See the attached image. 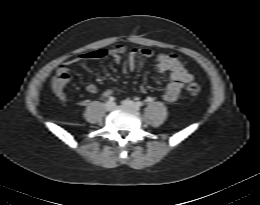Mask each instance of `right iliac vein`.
<instances>
[{"label": "right iliac vein", "mask_w": 260, "mask_h": 205, "mask_svg": "<svg viewBox=\"0 0 260 205\" xmlns=\"http://www.w3.org/2000/svg\"><path fill=\"white\" fill-rule=\"evenodd\" d=\"M115 104L113 102H107L105 105H104V108L105 110L107 111H111L113 108H114Z\"/></svg>", "instance_id": "1"}]
</instances>
